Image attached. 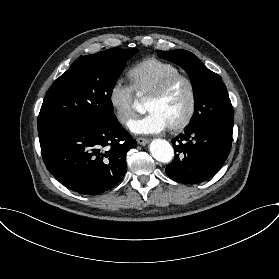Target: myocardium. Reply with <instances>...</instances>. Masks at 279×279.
<instances>
[{"instance_id": "f54148a6", "label": "myocardium", "mask_w": 279, "mask_h": 279, "mask_svg": "<svg viewBox=\"0 0 279 279\" xmlns=\"http://www.w3.org/2000/svg\"><path fill=\"white\" fill-rule=\"evenodd\" d=\"M185 82L190 91V102H189V108L185 115V117L178 123L170 125V129L173 131H180L186 128L194 118V115L196 113L197 108V89L194 81L192 78L186 74L180 73L173 75L169 78H167L163 83L160 84V86L149 95L150 100H158L163 98L176 84L179 82Z\"/></svg>"}]
</instances>
